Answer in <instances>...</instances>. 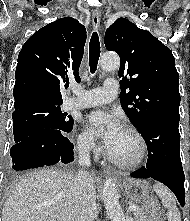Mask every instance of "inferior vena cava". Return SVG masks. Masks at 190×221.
<instances>
[{"label": "inferior vena cava", "instance_id": "1", "mask_svg": "<svg viewBox=\"0 0 190 221\" xmlns=\"http://www.w3.org/2000/svg\"><path fill=\"white\" fill-rule=\"evenodd\" d=\"M90 145L87 140L78 142V163L85 167L90 165ZM75 201V221H94L98 215L96 193L91 175L81 170L73 183Z\"/></svg>", "mask_w": 190, "mask_h": 221}]
</instances>
